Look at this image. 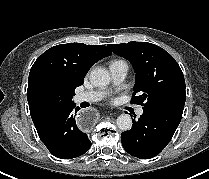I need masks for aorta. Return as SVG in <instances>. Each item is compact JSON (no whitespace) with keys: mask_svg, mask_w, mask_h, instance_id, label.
Masks as SVG:
<instances>
[{"mask_svg":"<svg viewBox=\"0 0 209 179\" xmlns=\"http://www.w3.org/2000/svg\"><path fill=\"white\" fill-rule=\"evenodd\" d=\"M110 74L104 68H95L90 73V82L97 87H104L110 83ZM117 126L123 131L130 130L132 119L128 114H121L116 120Z\"/></svg>","mask_w":209,"mask_h":179,"instance_id":"1","label":"aorta"}]
</instances>
